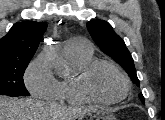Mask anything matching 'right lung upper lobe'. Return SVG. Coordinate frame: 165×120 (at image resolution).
<instances>
[{
	"instance_id": "right-lung-upper-lobe-1",
	"label": "right lung upper lobe",
	"mask_w": 165,
	"mask_h": 120,
	"mask_svg": "<svg viewBox=\"0 0 165 120\" xmlns=\"http://www.w3.org/2000/svg\"><path fill=\"white\" fill-rule=\"evenodd\" d=\"M46 28L45 22L15 23L9 33L0 39V60L31 59Z\"/></svg>"
}]
</instances>
